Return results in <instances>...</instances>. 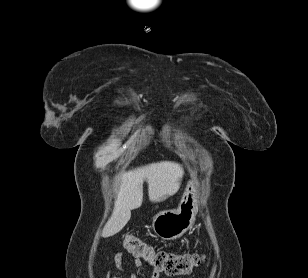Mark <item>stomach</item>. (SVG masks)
<instances>
[{
	"label": "stomach",
	"instance_id": "0dacf381",
	"mask_svg": "<svg viewBox=\"0 0 308 278\" xmlns=\"http://www.w3.org/2000/svg\"><path fill=\"white\" fill-rule=\"evenodd\" d=\"M195 192V181H189L178 208L159 212L153 217L152 228L158 237L174 240L192 227L198 211Z\"/></svg>",
	"mask_w": 308,
	"mask_h": 278
}]
</instances>
